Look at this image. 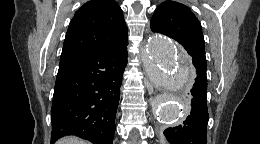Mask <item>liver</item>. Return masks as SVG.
Masks as SVG:
<instances>
[{"label": "liver", "instance_id": "1", "mask_svg": "<svg viewBox=\"0 0 260 144\" xmlns=\"http://www.w3.org/2000/svg\"><path fill=\"white\" fill-rule=\"evenodd\" d=\"M57 144H89V143L79 138L69 136L60 139L59 141H57Z\"/></svg>", "mask_w": 260, "mask_h": 144}]
</instances>
